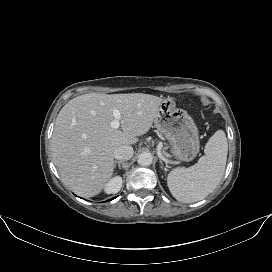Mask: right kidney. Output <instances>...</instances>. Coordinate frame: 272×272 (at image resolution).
I'll list each match as a JSON object with an SVG mask.
<instances>
[{
	"label": "right kidney",
	"instance_id": "1",
	"mask_svg": "<svg viewBox=\"0 0 272 272\" xmlns=\"http://www.w3.org/2000/svg\"><path fill=\"white\" fill-rule=\"evenodd\" d=\"M122 186V178L120 176H116L112 178L105 186V192L107 194L117 193Z\"/></svg>",
	"mask_w": 272,
	"mask_h": 272
}]
</instances>
